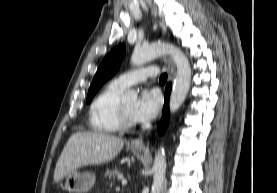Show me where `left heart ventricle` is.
<instances>
[{"instance_id": "obj_1", "label": "left heart ventricle", "mask_w": 277, "mask_h": 193, "mask_svg": "<svg viewBox=\"0 0 277 193\" xmlns=\"http://www.w3.org/2000/svg\"><path fill=\"white\" fill-rule=\"evenodd\" d=\"M136 102L135 101H130V102H126L123 103V107L126 111V113L133 119V110L135 107Z\"/></svg>"}]
</instances>
